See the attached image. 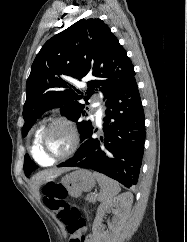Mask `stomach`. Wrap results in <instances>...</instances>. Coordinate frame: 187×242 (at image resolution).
<instances>
[{
  "label": "stomach",
  "mask_w": 187,
  "mask_h": 242,
  "mask_svg": "<svg viewBox=\"0 0 187 242\" xmlns=\"http://www.w3.org/2000/svg\"><path fill=\"white\" fill-rule=\"evenodd\" d=\"M60 184L67 190L70 196L78 197L82 192H88L95 186L92 173L85 169H77L65 175Z\"/></svg>",
  "instance_id": "1"
}]
</instances>
